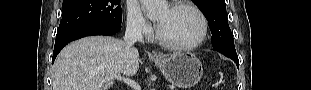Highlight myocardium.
I'll return each instance as SVG.
<instances>
[{
  "label": "myocardium",
  "instance_id": "obj_1",
  "mask_svg": "<svg viewBox=\"0 0 311 90\" xmlns=\"http://www.w3.org/2000/svg\"><path fill=\"white\" fill-rule=\"evenodd\" d=\"M180 8L189 9L198 16V18L201 22V32H200L198 38L195 41L188 43V44H174V43H170V42L164 40L160 36L158 29L156 30L155 37H156L157 42L161 46H163L164 48H167V49L173 50V51H189V50H192V49L199 47L205 41L207 34H208V21H207L206 16L202 13V11L199 10L196 6H194L191 3L176 2V3L171 4L169 6L170 10H177Z\"/></svg>",
  "mask_w": 311,
  "mask_h": 90
}]
</instances>
